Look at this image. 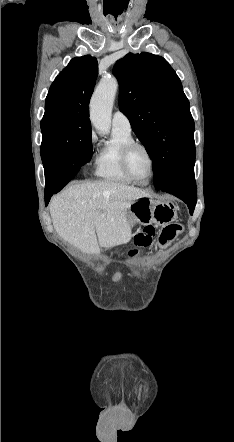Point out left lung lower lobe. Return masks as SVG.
I'll use <instances>...</instances> for the list:
<instances>
[{
  "instance_id": "left-lung-lower-lobe-1",
  "label": "left lung lower lobe",
  "mask_w": 234,
  "mask_h": 442,
  "mask_svg": "<svg viewBox=\"0 0 234 442\" xmlns=\"http://www.w3.org/2000/svg\"><path fill=\"white\" fill-rule=\"evenodd\" d=\"M195 150L185 160L179 171L158 190L168 192L183 200L192 215L196 205V183L194 179Z\"/></svg>"
}]
</instances>
